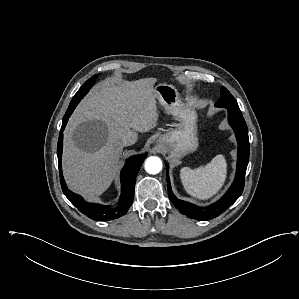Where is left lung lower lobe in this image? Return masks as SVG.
Masks as SVG:
<instances>
[{
    "label": "left lung lower lobe",
    "mask_w": 299,
    "mask_h": 299,
    "mask_svg": "<svg viewBox=\"0 0 299 299\" xmlns=\"http://www.w3.org/2000/svg\"><path fill=\"white\" fill-rule=\"evenodd\" d=\"M227 109L229 123L234 129L238 141V159L234 182L226 194L216 203L206 207L205 209L179 200L172 193L167 169V187L169 198L182 214H185L191 219L206 221L219 216L239 198L244 189L245 173L249 161L248 129L241 111L229 108Z\"/></svg>",
    "instance_id": "obj_1"
}]
</instances>
